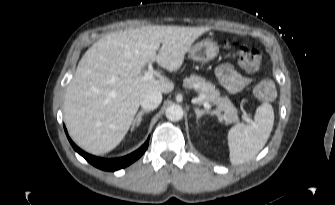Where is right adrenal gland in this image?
Listing matches in <instances>:
<instances>
[{
    "label": "right adrenal gland",
    "mask_w": 335,
    "mask_h": 205,
    "mask_svg": "<svg viewBox=\"0 0 335 205\" xmlns=\"http://www.w3.org/2000/svg\"><path fill=\"white\" fill-rule=\"evenodd\" d=\"M149 112H150L149 110H141L140 112H138L135 119L133 120L131 132H133L135 130V128H137L140 125L141 120H142V116L146 113H149Z\"/></svg>",
    "instance_id": "right-adrenal-gland-1"
}]
</instances>
